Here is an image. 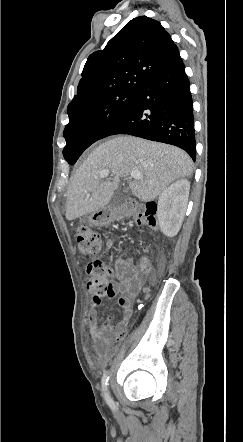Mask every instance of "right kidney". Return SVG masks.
Wrapping results in <instances>:
<instances>
[{
	"mask_svg": "<svg viewBox=\"0 0 243 442\" xmlns=\"http://www.w3.org/2000/svg\"><path fill=\"white\" fill-rule=\"evenodd\" d=\"M190 182L181 179L171 184L160 195L157 217L163 234L175 236L182 225L189 196Z\"/></svg>",
	"mask_w": 243,
	"mask_h": 442,
	"instance_id": "1",
	"label": "right kidney"
}]
</instances>
